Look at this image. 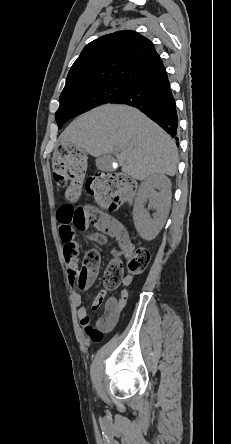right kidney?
I'll return each mask as SVG.
<instances>
[{"mask_svg":"<svg viewBox=\"0 0 231 444\" xmlns=\"http://www.w3.org/2000/svg\"><path fill=\"white\" fill-rule=\"evenodd\" d=\"M171 186L164 174L152 175L141 183L133 208L134 225L141 238L152 240L163 228L171 203ZM147 200L148 208L156 211L153 219L144 206Z\"/></svg>","mask_w":231,"mask_h":444,"instance_id":"ca27d5eb","label":"right kidney"}]
</instances>
